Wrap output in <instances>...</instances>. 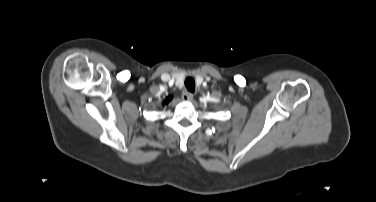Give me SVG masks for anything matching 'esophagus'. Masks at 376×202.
<instances>
[{
  "instance_id": "1",
  "label": "esophagus",
  "mask_w": 376,
  "mask_h": 202,
  "mask_svg": "<svg viewBox=\"0 0 376 202\" xmlns=\"http://www.w3.org/2000/svg\"><path fill=\"white\" fill-rule=\"evenodd\" d=\"M182 100L183 101H192L193 100V94L192 93H190V92H184L183 94H182Z\"/></svg>"
}]
</instances>
